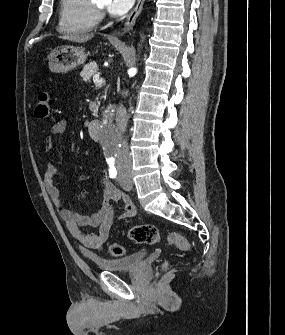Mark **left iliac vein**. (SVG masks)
Listing matches in <instances>:
<instances>
[{
  "label": "left iliac vein",
  "instance_id": "1",
  "mask_svg": "<svg viewBox=\"0 0 285 335\" xmlns=\"http://www.w3.org/2000/svg\"><path fill=\"white\" fill-rule=\"evenodd\" d=\"M118 181L122 185L124 190L126 191L132 190L133 183L130 178V173L124 174L123 172H119Z\"/></svg>",
  "mask_w": 285,
  "mask_h": 335
}]
</instances>
